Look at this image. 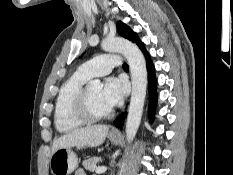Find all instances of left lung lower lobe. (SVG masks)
Instances as JSON below:
<instances>
[{
  "label": "left lung lower lobe",
  "instance_id": "left-lung-lower-lobe-1",
  "mask_svg": "<svg viewBox=\"0 0 233 175\" xmlns=\"http://www.w3.org/2000/svg\"><path fill=\"white\" fill-rule=\"evenodd\" d=\"M140 49L143 51L146 60H147V69H148V75H149V96H150V102H149V109H150V121L153 119V108H155L156 106V102H157V94H156V80H155V76H154V66L150 60V56L148 54V52L146 51L144 45H142L140 47ZM123 123H124V116L120 115L119 117H117L114 121V124L122 129L123 127Z\"/></svg>",
  "mask_w": 233,
  "mask_h": 175
}]
</instances>
